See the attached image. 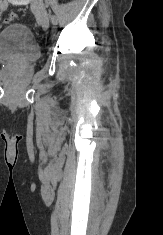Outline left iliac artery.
Listing matches in <instances>:
<instances>
[{
	"mask_svg": "<svg viewBox=\"0 0 163 235\" xmlns=\"http://www.w3.org/2000/svg\"><path fill=\"white\" fill-rule=\"evenodd\" d=\"M51 20H52V22L54 23V21H55L54 17H51Z\"/></svg>",
	"mask_w": 163,
	"mask_h": 235,
	"instance_id": "obj_1",
	"label": "left iliac artery"
}]
</instances>
